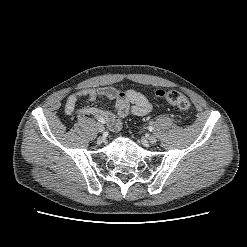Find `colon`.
<instances>
[{
	"label": "colon",
	"instance_id": "1",
	"mask_svg": "<svg viewBox=\"0 0 247 247\" xmlns=\"http://www.w3.org/2000/svg\"><path fill=\"white\" fill-rule=\"evenodd\" d=\"M158 98L165 100L171 106L186 111L190 108L188 98L182 93L175 90H158L156 92Z\"/></svg>",
	"mask_w": 247,
	"mask_h": 247
}]
</instances>
